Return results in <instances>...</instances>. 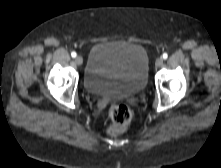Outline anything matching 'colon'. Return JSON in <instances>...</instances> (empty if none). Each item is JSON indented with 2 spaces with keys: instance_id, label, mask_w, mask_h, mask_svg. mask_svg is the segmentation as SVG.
<instances>
[{
  "instance_id": "colon-1",
  "label": "colon",
  "mask_w": 221,
  "mask_h": 168,
  "mask_svg": "<svg viewBox=\"0 0 221 168\" xmlns=\"http://www.w3.org/2000/svg\"><path fill=\"white\" fill-rule=\"evenodd\" d=\"M112 124L108 128L110 134L124 130L131 120V112L124 104H112L109 108Z\"/></svg>"
}]
</instances>
